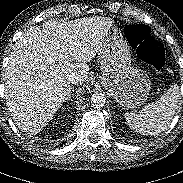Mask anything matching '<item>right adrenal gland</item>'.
Instances as JSON below:
<instances>
[{
	"instance_id": "2a0ac1e0",
	"label": "right adrenal gland",
	"mask_w": 183,
	"mask_h": 183,
	"mask_svg": "<svg viewBox=\"0 0 183 183\" xmlns=\"http://www.w3.org/2000/svg\"><path fill=\"white\" fill-rule=\"evenodd\" d=\"M73 91H74L73 88H70V90H69V92H68V94L65 98L66 101H71L72 100L71 99V94H72Z\"/></svg>"
}]
</instances>
